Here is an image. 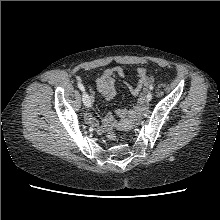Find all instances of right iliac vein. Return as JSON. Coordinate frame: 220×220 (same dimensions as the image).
I'll use <instances>...</instances> for the list:
<instances>
[{
	"mask_svg": "<svg viewBox=\"0 0 220 220\" xmlns=\"http://www.w3.org/2000/svg\"><path fill=\"white\" fill-rule=\"evenodd\" d=\"M82 100L84 105L89 108L91 106V98L87 93H83Z\"/></svg>",
	"mask_w": 220,
	"mask_h": 220,
	"instance_id": "obj_1",
	"label": "right iliac vein"
}]
</instances>
